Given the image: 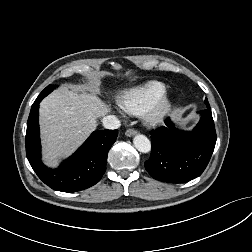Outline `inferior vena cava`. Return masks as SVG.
I'll use <instances>...</instances> for the list:
<instances>
[{
  "label": "inferior vena cava",
  "mask_w": 252,
  "mask_h": 252,
  "mask_svg": "<svg viewBox=\"0 0 252 252\" xmlns=\"http://www.w3.org/2000/svg\"><path fill=\"white\" fill-rule=\"evenodd\" d=\"M102 123L104 128L114 130L118 129L120 127V121L117 117L113 115L105 116L102 119Z\"/></svg>",
  "instance_id": "obj_1"
}]
</instances>
